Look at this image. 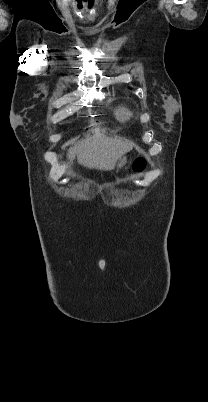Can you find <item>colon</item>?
<instances>
[{"label": "colon", "mask_w": 208, "mask_h": 402, "mask_svg": "<svg viewBox=\"0 0 208 402\" xmlns=\"http://www.w3.org/2000/svg\"><path fill=\"white\" fill-rule=\"evenodd\" d=\"M146 168H147V161L144 158H137L132 165V169L134 172H142Z\"/></svg>", "instance_id": "1"}]
</instances>
